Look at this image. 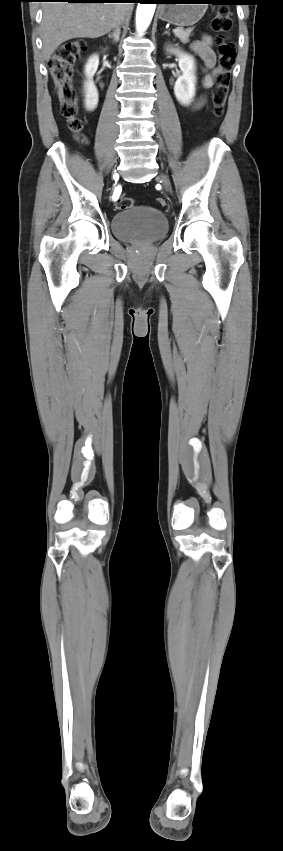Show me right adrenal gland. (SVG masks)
<instances>
[{
	"mask_svg": "<svg viewBox=\"0 0 283 851\" xmlns=\"http://www.w3.org/2000/svg\"><path fill=\"white\" fill-rule=\"evenodd\" d=\"M108 37L112 39L114 43H117L120 38V30H118L116 33H110Z\"/></svg>",
	"mask_w": 283,
	"mask_h": 851,
	"instance_id": "1",
	"label": "right adrenal gland"
}]
</instances>
